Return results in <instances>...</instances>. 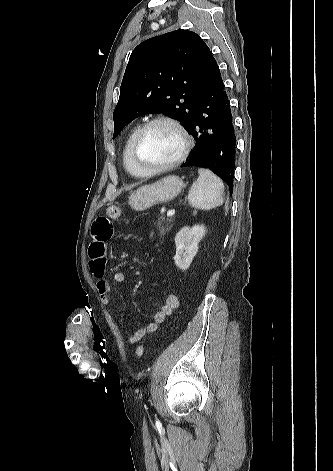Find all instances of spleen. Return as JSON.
<instances>
[{
    "label": "spleen",
    "instance_id": "obj_1",
    "mask_svg": "<svg viewBox=\"0 0 333 471\" xmlns=\"http://www.w3.org/2000/svg\"><path fill=\"white\" fill-rule=\"evenodd\" d=\"M199 177L188 193L189 204L201 210H210L223 204L224 185L219 177L208 169H198Z\"/></svg>",
    "mask_w": 333,
    "mask_h": 471
}]
</instances>
